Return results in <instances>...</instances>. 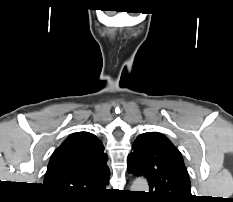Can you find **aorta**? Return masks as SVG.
Masks as SVG:
<instances>
[{
  "label": "aorta",
  "mask_w": 233,
  "mask_h": 202,
  "mask_svg": "<svg viewBox=\"0 0 233 202\" xmlns=\"http://www.w3.org/2000/svg\"><path fill=\"white\" fill-rule=\"evenodd\" d=\"M132 191H147L148 190V183L144 179H137L134 181L133 185L131 186Z\"/></svg>",
  "instance_id": "1"
}]
</instances>
